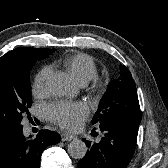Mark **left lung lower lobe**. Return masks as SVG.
<instances>
[{
	"mask_svg": "<svg viewBox=\"0 0 168 168\" xmlns=\"http://www.w3.org/2000/svg\"><path fill=\"white\" fill-rule=\"evenodd\" d=\"M100 130V142L83 139L88 151L78 162V168H126L135 152L138 126L116 120L100 125Z\"/></svg>",
	"mask_w": 168,
	"mask_h": 168,
	"instance_id": "0a47b994",
	"label": "left lung lower lobe"
}]
</instances>
